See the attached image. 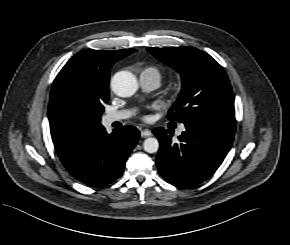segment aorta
I'll return each instance as SVG.
<instances>
[{
  "label": "aorta",
  "instance_id": "1",
  "mask_svg": "<svg viewBox=\"0 0 290 245\" xmlns=\"http://www.w3.org/2000/svg\"><path fill=\"white\" fill-rule=\"evenodd\" d=\"M111 87L116 95L120 97H130L136 93L138 82L131 72L120 71L113 76ZM143 146L147 153H156L159 149V142L156 138L149 137L145 139Z\"/></svg>",
  "mask_w": 290,
  "mask_h": 245
}]
</instances>
